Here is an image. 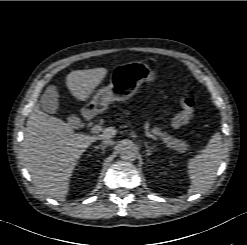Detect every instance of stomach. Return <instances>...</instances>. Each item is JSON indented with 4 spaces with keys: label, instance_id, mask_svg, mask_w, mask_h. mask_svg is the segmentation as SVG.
I'll list each match as a JSON object with an SVG mask.
<instances>
[{
    "label": "stomach",
    "instance_id": "1",
    "mask_svg": "<svg viewBox=\"0 0 247 245\" xmlns=\"http://www.w3.org/2000/svg\"><path fill=\"white\" fill-rule=\"evenodd\" d=\"M157 73L142 61H133L114 67L110 84L101 89L91 101L98 111H103L112 101H125L132 97L144 82L153 83Z\"/></svg>",
    "mask_w": 247,
    "mask_h": 245
}]
</instances>
